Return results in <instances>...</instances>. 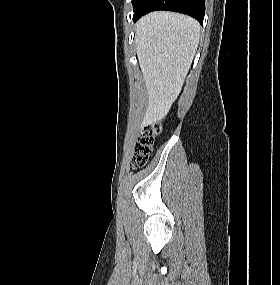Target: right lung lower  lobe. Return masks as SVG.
I'll list each match as a JSON object with an SVG mask.
<instances>
[{
  "label": "right lung lower lobe",
  "mask_w": 280,
  "mask_h": 285,
  "mask_svg": "<svg viewBox=\"0 0 280 285\" xmlns=\"http://www.w3.org/2000/svg\"><path fill=\"white\" fill-rule=\"evenodd\" d=\"M156 10H169L190 15L203 23L205 0H142L134 11V22L143 15Z\"/></svg>",
  "instance_id": "obj_1"
}]
</instances>
